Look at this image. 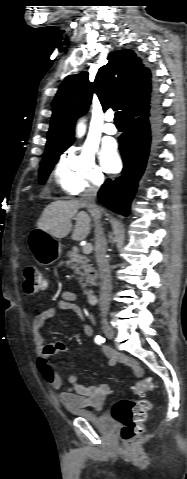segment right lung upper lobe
<instances>
[{"mask_svg":"<svg viewBox=\"0 0 187 479\" xmlns=\"http://www.w3.org/2000/svg\"><path fill=\"white\" fill-rule=\"evenodd\" d=\"M95 92L103 110L118 108L124 116L135 108L147 106L156 95L151 71L132 50L122 49L108 56L94 83L88 73L68 76L55 99L46 151L69 147L74 140L76 119L85 114Z\"/></svg>","mask_w":187,"mask_h":479,"instance_id":"cb5924a9","label":"right lung upper lobe"}]
</instances>
